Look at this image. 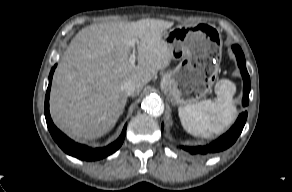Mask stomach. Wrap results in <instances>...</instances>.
<instances>
[{
  "label": "stomach",
  "instance_id": "0dacf381",
  "mask_svg": "<svg viewBox=\"0 0 292 192\" xmlns=\"http://www.w3.org/2000/svg\"><path fill=\"white\" fill-rule=\"evenodd\" d=\"M163 40L179 64L163 75L161 89L174 105L197 103L211 91L221 59L220 31L213 25L176 26Z\"/></svg>",
  "mask_w": 292,
  "mask_h": 192
}]
</instances>
